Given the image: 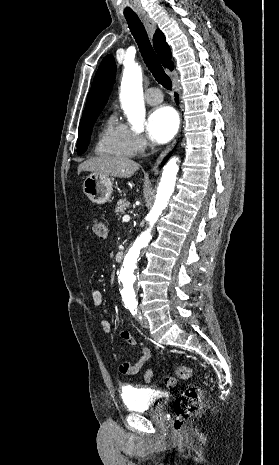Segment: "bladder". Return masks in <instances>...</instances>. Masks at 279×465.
<instances>
[{
    "instance_id": "1",
    "label": "bladder",
    "mask_w": 279,
    "mask_h": 465,
    "mask_svg": "<svg viewBox=\"0 0 279 465\" xmlns=\"http://www.w3.org/2000/svg\"><path fill=\"white\" fill-rule=\"evenodd\" d=\"M125 408L130 412H153L162 414L169 401V396L140 386H125L121 390Z\"/></svg>"
}]
</instances>
